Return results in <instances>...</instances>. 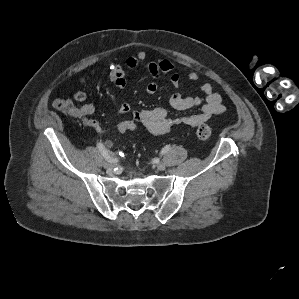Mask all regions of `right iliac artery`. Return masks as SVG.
<instances>
[{
	"label": "right iliac artery",
	"mask_w": 299,
	"mask_h": 299,
	"mask_svg": "<svg viewBox=\"0 0 299 299\" xmlns=\"http://www.w3.org/2000/svg\"><path fill=\"white\" fill-rule=\"evenodd\" d=\"M97 147L100 150L103 157L111 163H116L118 159L116 157H113L110 155L109 151L105 148V146L102 143H97Z\"/></svg>",
	"instance_id": "right-iliac-artery-1"
}]
</instances>
